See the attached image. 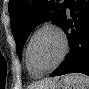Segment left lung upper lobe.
I'll use <instances>...</instances> for the list:
<instances>
[{"label":"left lung upper lobe","instance_id":"5c2ea615","mask_svg":"<svg viewBox=\"0 0 89 89\" xmlns=\"http://www.w3.org/2000/svg\"><path fill=\"white\" fill-rule=\"evenodd\" d=\"M69 0H10L9 14L12 33L21 59L23 45L30 32L40 23L52 21L61 28L66 18Z\"/></svg>","mask_w":89,"mask_h":89}]
</instances>
